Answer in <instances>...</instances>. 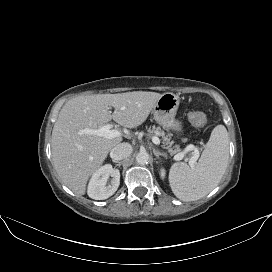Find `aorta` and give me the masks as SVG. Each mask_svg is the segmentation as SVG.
<instances>
[{"instance_id": "aorta-1", "label": "aorta", "mask_w": 272, "mask_h": 272, "mask_svg": "<svg viewBox=\"0 0 272 272\" xmlns=\"http://www.w3.org/2000/svg\"><path fill=\"white\" fill-rule=\"evenodd\" d=\"M149 161V154L146 151H140L136 155V162L140 165H145Z\"/></svg>"}]
</instances>
